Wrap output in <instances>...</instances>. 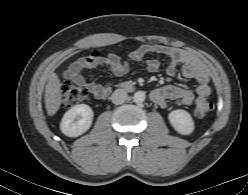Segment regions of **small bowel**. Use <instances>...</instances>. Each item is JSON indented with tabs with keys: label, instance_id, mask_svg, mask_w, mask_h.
<instances>
[{
	"label": "small bowel",
	"instance_id": "c3829d8e",
	"mask_svg": "<svg viewBox=\"0 0 248 195\" xmlns=\"http://www.w3.org/2000/svg\"><path fill=\"white\" fill-rule=\"evenodd\" d=\"M150 53H160L168 57L169 61L165 66L167 75L174 76L177 67L181 66V72L184 77L197 81V86L194 89L173 84L155 88L151 93L152 100L155 103L162 107H165L168 101L190 105L196 96H208L210 94V72L193 55L186 51L166 46L146 44L132 50L130 59L134 62H142L148 72L155 73L160 69L159 62L154 59L144 60L145 56ZM97 67H105L112 74L119 76L126 74L131 68L129 62L120 60L114 53H110L106 57H101L98 53H92L71 64L64 75L75 84L84 86L95 98L102 99L109 93L108 84L86 81L82 75V72L93 70Z\"/></svg>",
	"mask_w": 248,
	"mask_h": 195
}]
</instances>
